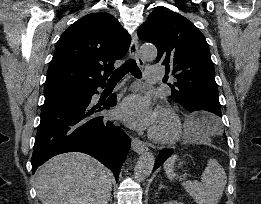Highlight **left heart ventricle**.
<instances>
[{"label":"left heart ventricle","mask_w":261,"mask_h":204,"mask_svg":"<svg viewBox=\"0 0 261 204\" xmlns=\"http://www.w3.org/2000/svg\"><path fill=\"white\" fill-rule=\"evenodd\" d=\"M169 128H170V123H169L168 119L161 114H157V117H156V120H155V123H154L152 129L156 132L164 133V132L168 131Z\"/></svg>","instance_id":"b2bd125f"}]
</instances>
